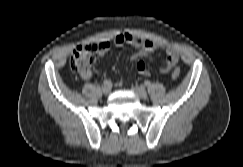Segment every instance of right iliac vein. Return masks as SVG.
<instances>
[{
	"mask_svg": "<svg viewBox=\"0 0 243 167\" xmlns=\"http://www.w3.org/2000/svg\"><path fill=\"white\" fill-rule=\"evenodd\" d=\"M102 92L103 94L108 95L111 92V87L107 85L102 86Z\"/></svg>",
	"mask_w": 243,
	"mask_h": 167,
	"instance_id": "1",
	"label": "right iliac vein"
}]
</instances>
